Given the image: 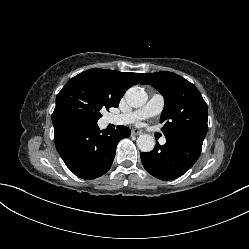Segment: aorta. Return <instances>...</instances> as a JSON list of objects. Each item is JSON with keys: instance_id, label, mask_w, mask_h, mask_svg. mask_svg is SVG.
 Returning a JSON list of instances; mask_svg holds the SVG:
<instances>
[{"instance_id": "aorta-1", "label": "aorta", "mask_w": 249, "mask_h": 249, "mask_svg": "<svg viewBox=\"0 0 249 249\" xmlns=\"http://www.w3.org/2000/svg\"><path fill=\"white\" fill-rule=\"evenodd\" d=\"M127 103L134 108L143 106L148 99L147 93L143 88L133 86L125 93ZM137 146L142 152H150L155 146L154 138L149 134H142L137 138Z\"/></svg>"}]
</instances>
